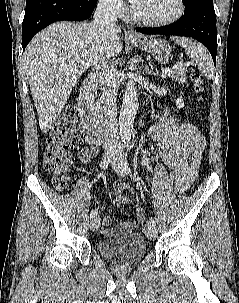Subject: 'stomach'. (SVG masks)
I'll return each mask as SVG.
<instances>
[{"label": "stomach", "instance_id": "obj_1", "mask_svg": "<svg viewBox=\"0 0 239 303\" xmlns=\"http://www.w3.org/2000/svg\"><path fill=\"white\" fill-rule=\"evenodd\" d=\"M130 43L152 54L155 60L160 63H166L171 56L172 49L170 45L161 39L140 37L138 39H131Z\"/></svg>", "mask_w": 239, "mask_h": 303}]
</instances>
